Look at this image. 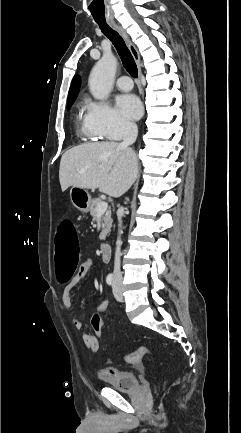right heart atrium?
Segmentation results:
<instances>
[{
  "label": "right heart atrium",
  "mask_w": 241,
  "mask_h": 433,
  "mask_svg": "<svg viewBox=\"0 0 241 433\" xmlns=\"http://www.w3.org/2000/svg\"><path fill=\"white\" fill-rule=\"evenodd\" d=\"M84 122L92 136L107 139H118L122 135L132 133L135 128L131 122L104 101L87 102Z\"/></svg>",
  "instance_id": "1"
}]
</instances>
